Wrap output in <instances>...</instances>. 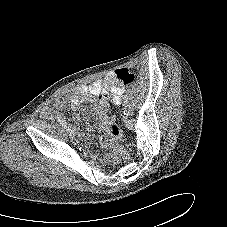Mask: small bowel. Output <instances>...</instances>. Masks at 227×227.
Wrapping results in <instances>:
<instances>
[{"label":"small bowel","instance_id":"1","mask_svg":"<svg viewBox=\"0 0 227 227\" xmlns=\"http://www.w3.org/2000/svg\"><path fill=\"white\" fill-rule=\"evenodd\" d=\"M116 72L111 71L103 79L96 80L90 84H79L77 85L71 95L69 97H57L53 99L49 104H47L42 109L43 117L47 119H51L55 115L57 117H61L60 111L63 108L70 104L73 111H79L80 104L82 100L86 96H90L93 98H98L101 95L109 94L111 96V101L114 104H120L121 98L124 96L125 88L118 87L116 85ZM94 111L99 115L100 119L107 125L109 124V115L108 111H101L98 106L94 109ZM78 120V116L75 117ZM80 138L83 141L90 140V134L87 130L81 133Z\"/></svg>","mask_w":227,"mask_h":227}]
</instances>
